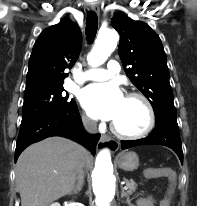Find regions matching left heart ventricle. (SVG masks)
<instances>
[{"instance_id":"left-heart-ventricle-1","label":"left heart ventricle","mask_w":197,"mask_h":206,"mask_svg":"<svg viewBox=\"0 0 197 206\" xmlns=\"http://www.w3.org/2000/svg\"><path fill=\"white\" fill-rule=\"evenodd\" d=\"M113 123L123 132H139L147 123L146 109L141 101L125 98L120 114Z\"/></svg>"}]
</instances>
